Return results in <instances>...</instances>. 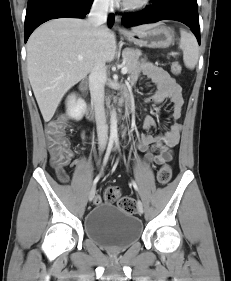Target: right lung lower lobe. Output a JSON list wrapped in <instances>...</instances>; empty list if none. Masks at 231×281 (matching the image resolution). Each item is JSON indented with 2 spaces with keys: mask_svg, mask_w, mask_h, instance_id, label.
<instances>
[{
  "mask_svg": "<svg viewBox=\"0 0 231 281\" xmlns=\"http://www.w3.org/2000/svg\"><path fill=\"white\" fill-rule=\"evenodd\" d=\"M93 0H28L25 17V42L42 23L56 18H84L89 13ZM114 15L108 19L111 27Z\"/></svg>",
  "mask_w": 231,
  "mask_h": 281,
  "instance_id": "1",
  "label": "right lung lower lobe"
}]
</instances>
